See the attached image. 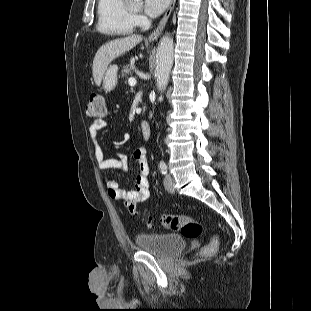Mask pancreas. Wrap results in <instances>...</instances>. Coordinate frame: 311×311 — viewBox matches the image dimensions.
<instances>
[{
  "instance_id": "1",
  "label": "pancreas",
  "mask_w": 311,
  "mask_h": 311,
  "mask_svg": "<svg viewBox=\"0 0 311 311\" xmlns=\"http://www.w3.org/2000/svg\"><path fill=\"white\" fill-rule=\"evenodd\" d=\"M132 69H133V65H126L122 68L121 71V77H127L128 75H132Z\"/></svg>"
}]
</instances>
